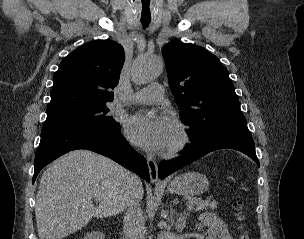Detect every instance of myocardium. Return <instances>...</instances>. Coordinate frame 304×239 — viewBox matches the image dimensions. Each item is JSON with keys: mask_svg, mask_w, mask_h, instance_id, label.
<instances>
[{"mask_svg": "<svg viewBox=\"0 0 304 239\" xmlns=\"http://www.w3.org/2000/svg\"><path fill=\"white\" fill-rule=\"evenodd\" d=\"M176 138L165 150L166 156H176L183 152L192 141V133L189 126L183 122L175 123Z\"/></svg>", "mask_w": 304, "mask_h": 239, "instance_id": "f54148a6", "label": "myocardium"}]
</instances>
